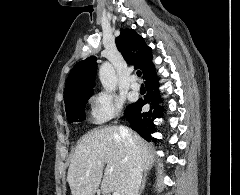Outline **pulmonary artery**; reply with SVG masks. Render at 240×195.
<instances>
[{"label":"pulmonary artery","mask_w":240,"mask_h":195,"mask_svg":"<svg viewBox=\"0 0 240 195\" xmlns=\"http://www.w3.org/2000/svg\"><path fill=\"white\" fill-rule=\"evenodd\" d=\"M131 88H132L134 91H139V90L141 89L140 83H138L135 78H133L132 81H131Z\"/></svg>","instance_id":"obj_1"}]
</instances>
